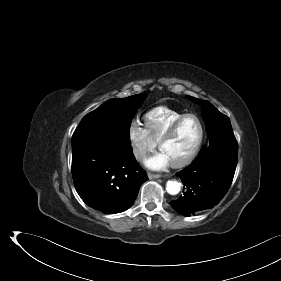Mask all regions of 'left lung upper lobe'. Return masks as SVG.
<instances>
[{
  "label": "left lung upper lobe",
  "mask_w": 281,
  "mask_h": 281,
  "mask_svg": "<svg viewBox=\"0 0 281 281\" xmlns=\"http://www.w3.org/2000/svg\"><path fill=\"white\" fill-rule=\"evenodd\" d=\"M190 98L195 102L199 101V99ZM203 112L206 120V130L210 138L207 149L214 151L238 149L229 118L220 113L206 100L203 102Z\"/></svg>",
  "instance_id": "left-lung-upper-lobe-1"
}]
</instances>
